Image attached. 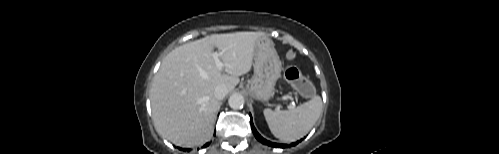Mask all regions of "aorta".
Returning <instances> with one entry per match:
<instances>
[{"label": "aorta", "instance_id": "762f6f07", "mask_svg": "<svg viewBox=\"0 0 499 154\" xmlns=\"http://www.w3.org/2000/svg\"><path fill=\"white\" fill-rule=\"evenodd\" d=\"M244 103L245 99L240 93L232 94L228 100V104L232 109H241L243 108Z\"/></svg>", "mask_w": 499, "mask_h": 154}]
</instances>
